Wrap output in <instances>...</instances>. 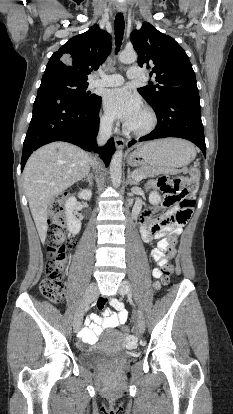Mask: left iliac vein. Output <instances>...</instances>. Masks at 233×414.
Listing matches in <instances>:
<instances>
[{"label": "left iliac vein", "mask_w": 233, "mask_h": 414, "mask_svg": "<svg viewBox=\"0 0 233 414\" xmlns=\"http://www.w3.org/2000/svg\"><path fill=\"white\" fill-rule=\"evenodd\" d=\"M131 291V285L128 281L124 280L121 282L119 287V293L121 295H128ZM137 329L140 333H143L145 330V318L141 310H137L136 314Z\"/></svg>", "instance_id": "1"}]
</instances>
